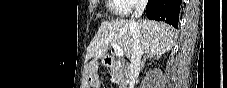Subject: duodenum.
Instances as JSON below:
<instances>
[{"mask_svg": "<svg viewBox=\"0 0 227 88\" xmlns=\"http://www.w3.org/2000/svg\"><path fill=\"white\" fill-rule=\"evenodd\" d=\"M115 63H116V59H114V58H107L104 65L107 66V67H109V66H111V65H113Z\"/></svg>", "mask_w": 227, "mask_h": 88, "instance_id": "duodenum-1", "label": "duodenum"}]
</instances>
